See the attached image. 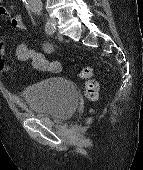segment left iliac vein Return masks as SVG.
Wrapping results in <instances>:
<instances>
[{"instance_id": "obj_1", "label": "left iliac vein", "mask_w": 143, "mask_h": 170, "mask_svg": "<svg viewBox=\"0 0 143 170\" xmlns=\"http://www.w3.org/2000/svg\"><path fill=\"white\" fill-rule=\"evenodd\" d=\"M48 23H49L50 25L56 26V25H57V20L54 19V18H52V19H50V20L48 21ZM50 34H51V33H50Z\"/></svg>"}]
</instances>
